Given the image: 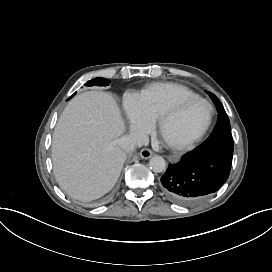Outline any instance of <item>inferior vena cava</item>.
<instances>
[{"instance_id": "obj_1", "label": "inferior vena cava", "mask_w": 272, "mask_h": 272, "mask_svg": "<svg viewBox=\"0 0 272 272\" xmlns=\"http://www.w3.org/2000/svg\"><path fill=\"white\" fill-rule=\"evenodd\" d=\"M117 142L125 151H131L135 146L141 147L148 145L149 137L145 132L137 130L131 132L129 135L123 136Z\"/></svg>"}]
</instances>
